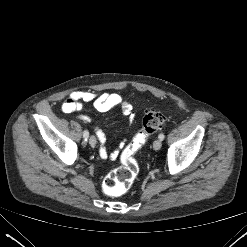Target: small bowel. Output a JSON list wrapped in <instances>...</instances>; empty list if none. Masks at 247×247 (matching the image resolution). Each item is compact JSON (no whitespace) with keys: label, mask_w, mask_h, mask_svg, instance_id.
<instances>
[{"label":"small bowel","mask_w":247,"mask_h":247,"mask_svg":"<svg viewBox=\"0 0 247 247\" xmlns=\"http://www.w3.org/2000/svg\"><path fill=\"white\" fill-rule=\"evenodd\" d=\"M90 102L92 103L93 109L100 113L108 112L116 107H120L124 116H130L132 112V106L129 103L124 102L118 93H95L90 90H78L72 92L68 96L67 100L63 102L61 109L63 112L67 113L80 111L83 109L85 103ZM79 119L85 123H90L92 121V118L85 114L79 115ZM95 133L100 143V156L104 159H116L119 155V150L124 145V141H122L115 150L109 153L104 146L106 137L102 129L96 126Z\"/></svg>","instance_id":"small-bowel-1"}]
</instances>
